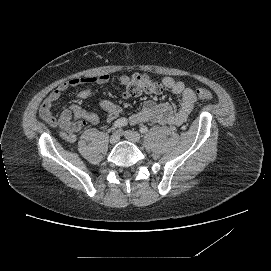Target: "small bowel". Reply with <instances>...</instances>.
Instances as JSON below:
<instances>
[{
    "mask_svg": "<svg viewBox=\"0 0 271 271\" xmlns=\"http://www.w3.org/2000/svg\"><path fill=\"white\" fill-rule=\"evenodd\" d=\"M121 82L127 87L130 78L126 75L121 76ZM109 81L108 75H100L95 77H79L73 78L61 83L45 98L40 107L41 118L50 126H58L61 128V137L68 142H74L77 133L87 124H97L99 117L91 112L83 109L79 104H72L64 108L58 117H55L51 109L59 101L63 93L70 88H75L83 84L103 85ZM163 86L173 94L180 96V105L177 109L169 103H156L147 100L143 103V107L138 112L132 114L129 118L131 124H139L143 122H153L158 124L181 125L187 121L195 110L197 105V95L194 90L187 88L181 81H177L171 77H165L162 80ZM92 94L91 88H85L78 92L80 99H86ZM123 97L129 98L130 95L125 89L122 93ZM100 108L106 113L107 119L112 121L117 119L122 109L120 106L110 102L102 101Z\"/></svg>",
    "mask_w": 271,
    "mask_h": 271,
    "instance_id": "small-bowel-1",
    "label": "small bowel"
}]
</instances>
